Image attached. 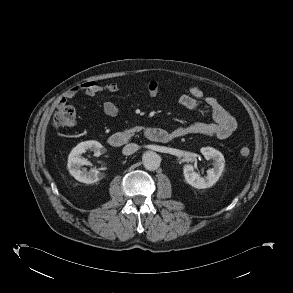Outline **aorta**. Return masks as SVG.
Wrapping results in <instances>:
<instances>
[{
	"label": "aorta",
	"mask_w": 293,
	"mask_h": 293,
	"mask_svg": "<svg viewBox=\"0 0 293 293\" xmlns=\"http://www.w3.org/2000/svg\"><path fill=\"white\" fill-rule=\"evenodd\" d=\"M143 165L147 170L153 171L159 168L160 156L153 151H146L142 156Z\"/></svg>",
	"instance_id": "1"
}]
</instances>
